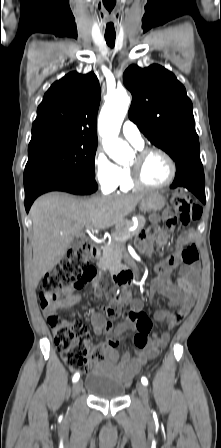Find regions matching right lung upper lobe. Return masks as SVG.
I'll use <instances>...</instances> for the list:
<instances>
[{
  "label": "right lung upper lobe",
  "instance_id": "right-lung-upper-lobe-1",
  "mask_svg": "<svg viewBox=\"0 0 221 448\" xmlns=\"http://www.w3.org/2000/svg\"><path fill=\"white\" fill-rule=\"evenodd\" d=\"M99 103L100 85L93 72L65 75L45 93L28 148L65 140H97Z\"/></svg>",
  "mask_w": 221,
  "mask_h": 448
}]
</instances>
